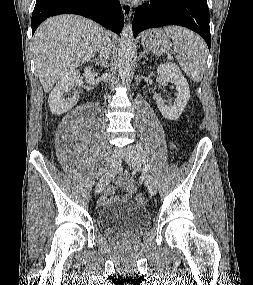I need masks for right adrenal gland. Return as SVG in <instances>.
Instances as JSON below:
<instances>
[{
	"instance_id": "2a0ac1e0",
	"label": "right adrenal gland",
	"mask_w": 253,
	"mask_h": 285,
	"mask_svg": "<svg viewBox=\"0 0 253 285\" xmlns=\"http://www.w3.org/2000/svg\"><path fill=\"white\" fill-rule=\"evenodd\" d=\"M93 58H94V56H93ZM93 61H95V65H97V66L101 65V62L97 58L93 59Z\"/></svg>"
}]
</instances>
